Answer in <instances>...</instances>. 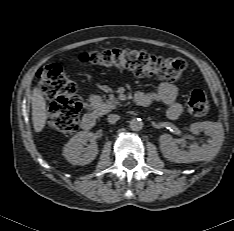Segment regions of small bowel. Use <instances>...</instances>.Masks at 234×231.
<instances>
[{"label":"small bowel","mask_w":234,"mask_h":231,"mask_svg":"<svg viewBox=\"0 0 234 231\" xmlns=\"http://www.w3.org/2000/svg\"><path fill=\"white\" fill-rule=\"evenodd\" d=\"M152 102H160L168 106L166 116L170 120H176L183 111L182 105L177 101L178 89L170 83H161L153 93H139Z\"/></svg>","instance_id":"small-bowel-1"}]
</instances>
